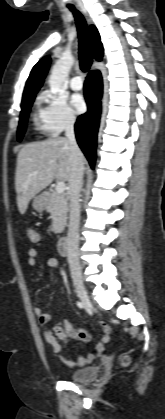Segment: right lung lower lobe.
Segmentation results:
<instances>
[{"label": "right lung lower lobe", "mask_w": 165, "mask_h": 419, "mask_svg": "<svg viewBox=\"0 0 165 419\" xmlns=\"http://www.w3.org/2000/svg\"><path fill=\"white\" fill-rule=\"evenodd\" d=\"M102 76L99 71L88 74L84 84V95L88 111L80 115L75 124L77 142L94 168L96 158V140L101 112Z\"/></svg>", "instance_id": "1"}]
</instances>
